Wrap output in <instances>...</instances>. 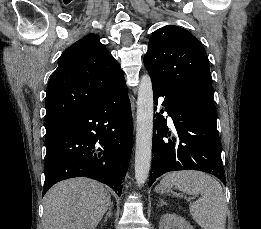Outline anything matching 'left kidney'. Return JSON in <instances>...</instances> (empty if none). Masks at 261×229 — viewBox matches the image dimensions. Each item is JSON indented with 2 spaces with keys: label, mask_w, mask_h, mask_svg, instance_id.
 I'll use <instances>...</instances> for the list:
<instances>
[{
  "label": "left kidney",
  "mask_w": 261,
  "mask_h": 229,
  "mask_svg": "<svg viewBox=\"0 0 261 229\" xmlns=\"http://www.w3.org/2000/svg\"><path fill=\"white\" fill-rule=\"evenodd\" d=\"M159 229H193L183 217L178 215H162L159 221Z\"/></svg>",
  "instance_id": "left-kidney-1"
}]
</instances>
